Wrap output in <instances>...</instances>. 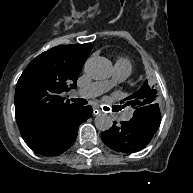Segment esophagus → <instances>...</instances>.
<instances>
[{"instance_id": "obj_1", "label": "esophagus", "mask_w": 193, "mask_h": 193, "mask_svg": "<svg viewBox=\"0 0 193 193\" xmlns=\"http://www.w3.org/2000/svg\"><path fill=\"white\" fill-rule=\"evenodd\" d=\"M100 113V110L97 108H93V115L97 116Z\"/></svg>"}]
</instances>
